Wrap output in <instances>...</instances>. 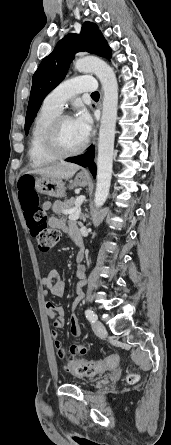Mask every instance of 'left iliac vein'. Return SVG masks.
<instances>
[{"mask_svg":"<svg viewBox=\"0 0 171 445\" xmlns=\"http://www.w3.org/2000/svg\"><path fill=\"white\" fill-rule=\"evenodd\" d=\"M93 331L98 336H104L106 334V328L102 322H96L92 325Z\"/></svg>","mask_w":171,"mask_h":445,"instance_id":"1","label":"left iliac vein"}]
</instances>
